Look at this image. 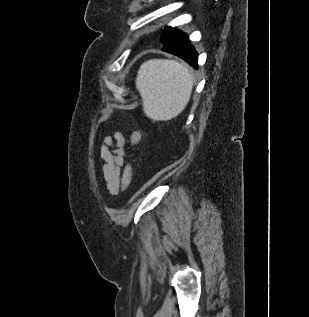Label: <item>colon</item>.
I'll return each mask as SVG.
<instances>
[{"mask_svg": "<svg viewBox=\"0 0 309 317\" xmlns=\"http://www.w3.org/2000/svg\"><path fill=\"white\" fill-rule=\"evenodd\" d=\"M141 140V133L139 131H134L131 135L130 141L131 146L135 147ZM132 181V166L127 163L122 174V188L124 190L128 189Z\"/></svg>", "mask_w": 309, "mask_h": 317, "instance_id": "colon-1", "label": "colon"}]
</instances>
